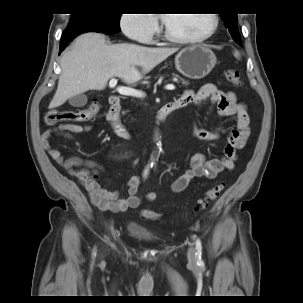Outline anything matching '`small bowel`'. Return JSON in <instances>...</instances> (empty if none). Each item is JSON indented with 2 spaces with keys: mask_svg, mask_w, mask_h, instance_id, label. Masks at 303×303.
I'll list each match as a JSON object with an SVG mask.
<instances>
[{
  "mask_svg": "<svg viewBox=\"0 0 303 303\" xmlns=\"http://www.w3.org/2000/svg\"><path fill=\"white\" fill-rule=\"evenodd\" d=\"M177 101L182 107L189 104H195L199 107L209 101L216 106L219 120L235 115L236 122L228 133L223 155L219 158L207 160L204 154L195 153L190 159L189 169L172 182L171 190L173 193H180L185 190L194 178L207 177L213 179L223 171L234 170L237 150L245 146L250 135L246 108L236 100L235 94L231 91L221 90L216 85L208 83L201 86L197 91L185 90ZM90 130V126L77 124H62L57 128L48 129L42 133L43 147L57 164L80 182L89 193L92 202L100 210L123 212L140 207L143 199L137 194L141 184V178L138 175H133L126 181L128 197L120 199L118 191H110L100 186L98 179L103 169L102 163L78 156L67 158L51 143L53 136H63L70 140V133H82ZM193 133L198 139L205 142H213L220 138L218 128L204 129L198 123L194 124ZM155 198L156 194L153 191H149L145 195V199L148 201H153Z\"/></svg>",
  "mask_w": 303,
  "mask_h": 303,
  "instance_id": "small-bowel-1",
  "label": "small bowel"
}]
</instances>
